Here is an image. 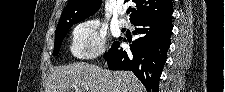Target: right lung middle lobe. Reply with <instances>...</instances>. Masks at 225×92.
Returning <instances> with one entry per match:
<instances>
[{
    "instance_id": "dd1d6c3e",
    "label": "right lung middle lobe",
    "mask_w": 225,
    "mask_h": 92,
    "mask_svg": "<svg viewBox=\"0 0 225 92\" xmlns=\"http://www.w3.org/2000/svg\"><path fill=\"white\" fill-rule=\"evenodd\" d=\"M78 22L72 23L70 25L57 26L55 31V46H54L53 55H57L59 53L62 41L67 35L68 30L73 26V24H76Z\"/></svg>"
}]
</instances>
